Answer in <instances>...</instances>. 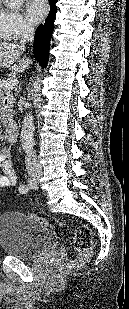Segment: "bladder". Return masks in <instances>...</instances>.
<instances>
[{
	"label": "bladder",
	"instance_id": "1",
	"mask_svg": "<svg viewBox=\"0 0 129 309\" xmlns=\"http://www.w3.org/2000/svg\"><path fill=\"white\" fill-rule=\"evenodd\" d=\"M0 246L11 256L34 259L53 251L57 238L32 216L9 211L0 215Z\"/></svg>",
	"mask_w": 129,
	"mask_h": 309
}]
</instances>
